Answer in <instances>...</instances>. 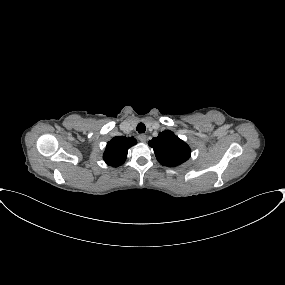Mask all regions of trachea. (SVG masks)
Wrapping results in <instances>:
<instances>
[{"label": "trachea", "mask_w": 285, "mask_h": 285, "mask_svg": "<svg viewBox=\"0 0 285 285\" xmlns=\"http://www.w3.org/2000/svg\"><path fill=\"white\" fill-rule=\"evenodd\" d=\"M138 133H144L146 131V126L143 123H139L136 127Z\"/></svg>", "instance_id": "3493384b"}]
</instances>
